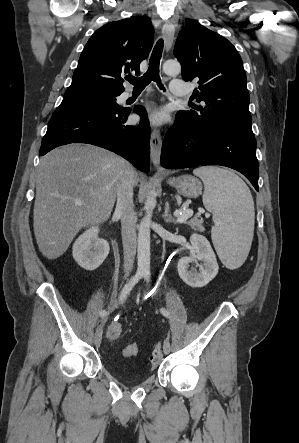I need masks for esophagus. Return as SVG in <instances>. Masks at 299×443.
Listing matches in <instances>:
<instances>
[{
	"mask_svg": "<svg viewBox=\"0 0 299 443\" xmlns=\"http://www.w3.org/2000/svg\"><path fill=\"white\" fill-rule=\"evenodd\" d=\"M175 28L171 22H167L162 27V36L165 42L166 50H169L173 44ZM162 148V137L160 131L153 129L150 138L151 161L153 165L160 168V155Z\"/></svg>",
	"mask_w": 299,
	"mask_h": 443,
	"instance_id": "34e87169",
	"label": "esophagus"
}]
</instances>
